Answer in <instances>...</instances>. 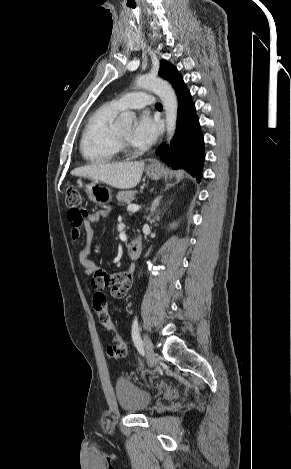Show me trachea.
Here are the masks:
<instances>
[{
	"label": "trachea",
	"mask_w": 291,
	"mask_h": 469,
	"mask_svg": "<svg viewBox=\"0 0 291 469\" xmlns=\"http://www.w3.org/2000/svg\"><path fill=\"white\" fill-rule=\"evenodd\" d=\"M155 107H156V108H160V107H162V104H161V103H156V104H155Z\"/></svg>",
	"instance_id": "obj_1"
}]
</instances>
